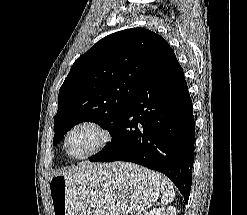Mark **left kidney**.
<instances>
[{"instance_id":"left-kidney-1","label":"left kidney","mask_w":247,"mask_h":215,"mask_svg":"<svg viewBox=\"0 0 247 215\" xmlns=\"http://www.w3.org/2000/svg\"><path fill=\"white\" fill-rule=\"evenodd\" d=\"M148 215H176V208L173 206L155 208Z\"/></svg>"}]
</instances>
